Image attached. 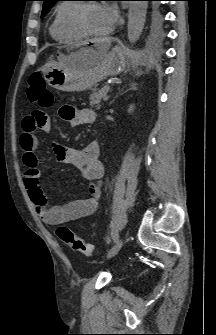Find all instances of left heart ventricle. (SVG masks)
Returning <instances> with one entry per match:
<instances>
[{
	"label": "left heart ventricle",
	"instance_id": "obj_1",
	"mask_svg": "<svg viewBox=\"0 0 216 335\" xmlns=\"http://www.w3.org/2000/svg\"><path fill=\"white\" fill-rule=\"evenodd\" d=\"M85 23L93 32L103 33L109 29L102 8L99 4H93L87 9L85 14Z\"/></svg>",
	"mask_w": 216,
	"mask_h": 335
}]
</instances>
